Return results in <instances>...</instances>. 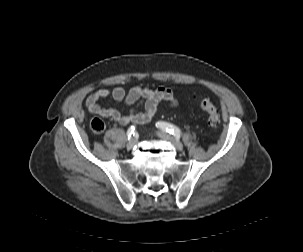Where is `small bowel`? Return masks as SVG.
Returning a JSON list of instances; mask_svg holds the SVG:
<instances>
[{
	"mask_svg": "<svg viewBox=\"0 0 303 252\" xmlns=\"http://www.w3.org/2000/svg\"><path fill=\"white\" fill-rule=\"evenodd\" d=\"M177 89L172 86H161L156 89L134 86L126 92L124 88L119 86L113 89L101 88L86 99L85 105L91 113L113 120L121 125L144 124L154 116L160 102L166 101L172 108L179 106V100L176 97ZM107 98L129 105L130 109L127 114L123 115L118 110L101 107L99 101ZM138 107H144L145 112H139Z\"/></svg>",
	"mask_w": 303,
	"mask_h": 252,
	"instance_id": "1",
	"label": "small bowel"
}]
</instances>
